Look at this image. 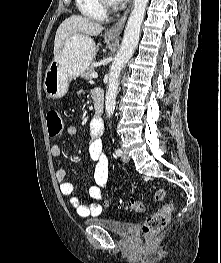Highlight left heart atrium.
<instances>
[{
	"instance_id": "obj_1",
	"label": "left heart atrium",
	"mask_w": 221,
	"mask_h": 263,
	"mask_svg": "<svg viewBox=\"0 0 221 263\" xmlns=\"http://www.w3.org/2000/svg\"><path fill=\"white\" fill-rule=\"evenodd\" d=\"M112 1L115 2V3H120V2H122L124 0H112Z\"/></svg>"
}]
</instances>
